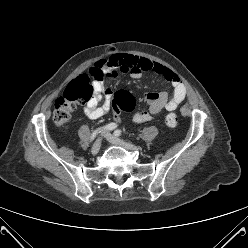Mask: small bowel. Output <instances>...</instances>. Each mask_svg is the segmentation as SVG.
Here are the masks:
<instances>
[{
	"label": "small bowel",
	"mask_w": 248,
	"mask_h": 248,
	"mask_svg": "<svg viewBox=\"0 0 248 248\" xmlns=\"http://www.w3.org/2000/svg\"><path fill=\"white\" fill-rule=\"evenodd\" d=\"M91 71H99L101 76L94 81L95 96L84 107V113L90 119H99L110 110L112 91L103 86L102 75L116 77L119 72L129 73L132 78L140 79L144 72H152L163 77L171 83L173 89L168 92H150L144 95L148 110L136 111L131 115L134 124H141L157 117L167 111L175 110L186 96V87L178 74L170 68L155 61L126 54H113L108 58L97 61Z\"/></svg>",
	"instance_id": "small-bowel-1"
}]
</instances>
